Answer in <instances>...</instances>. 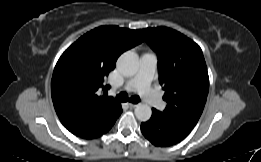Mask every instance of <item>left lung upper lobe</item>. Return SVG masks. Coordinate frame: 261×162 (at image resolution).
<instances>
[{
  "mask_svg": "<svg viewBox=\"0 0 261 162\" xmlns=\"http://www.w3.org/2000/svg\"><path fill=\"white\" fill-rule=\"evenodd\" d=\"M138 31L158 56L159 82L167 102L162 114L194 128L209 90V76L201 48L185 35L167 27Z\"/></svg>",
  "mask_w": 261,
  "mask_h": 162,
  "instance_id": "1",
  "label": "left lung upper lobe"
}]
</instances>
